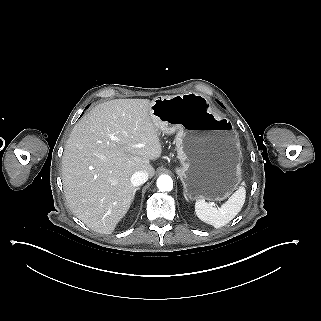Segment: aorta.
Returning a JSON list of instances; mask_svg holds the SVG:
<instances>
[{"instance_id": "1", "label": "aorta", "mask_w": 321, "mask_h": 321, "mask_svg": "<svg viewBox=\"0 0 321 321\" xmlns=\"http://www.w3.org/2000/svg\"><path fill=\"white\" fill-rule=\"evenodd\" d=\"M157 187L162 192L171 191L173 189L172 178L168 175H161L157 179Z\"/></svg>"}]
</instances>
